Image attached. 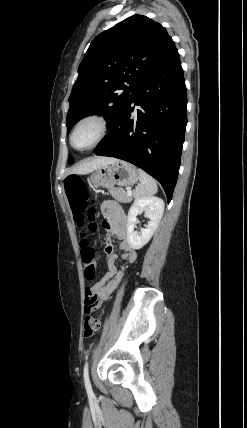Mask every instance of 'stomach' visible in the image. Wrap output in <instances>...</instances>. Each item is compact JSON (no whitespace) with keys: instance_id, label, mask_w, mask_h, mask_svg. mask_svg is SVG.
<instances>
[{"instance_id":"0dacf381","label":"stomach","mask_w":247,"mask_h":428,"mask_svg":"<svg viewBox=\"0 0 247 428\" xmlns=\"http://www.w3.org/2000/svg\"><path fill=\"white\" fill-rule=\"evenodd\" d=\"M137 180L138 170L136 167L122 160L95 169L88 178L92 187L109 189L114 185L130 186Z\"/></svg>"}]
</instances>
